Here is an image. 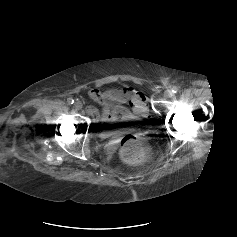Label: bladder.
<instances>
[{
	"mask_svg": "<svg viewBox=\"0 0 237 237\" xmlns=\"http://www.w3.org/2000/svg\"><path fill=\"white\" fill-rule=\"evenodd\" d=\"M130 123H132V122H130L129 120H127V121H117V122H115L114 126H112V127L110 128V132H111V133H114V132L117 131L120 127H122V126H124V125H128V124H130ZM124 160H125V159H124Z\"/></svg>",
	"mask_w": 237,
	"mask_h": 237,
	"instance_id": "bladder-1",
	"label": "bladder"
}]
</instances>
